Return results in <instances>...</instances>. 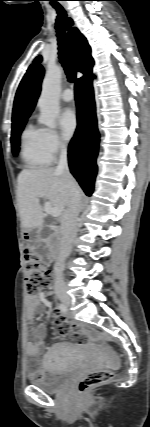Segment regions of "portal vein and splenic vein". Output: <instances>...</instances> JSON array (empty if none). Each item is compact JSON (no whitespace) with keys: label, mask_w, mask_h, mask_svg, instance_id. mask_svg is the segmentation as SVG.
Segmentation results:
<instances>
[{"label":"portal vein and splenic vein","mask_w":150,"mask_h":427,"mask_svg":"<svg viewBox=\"0 0 150 427\" xmlns=\"http://www.w3.org/2000/svg\"><path fill=\"white\" fill-rule=\"evenodd\" d=\"M44 210L53 217H58L61 214V210L58 207H52L49 202H45Z\"/></svg>","instance_id":"portal-vein-and-splenic-vein-1"}]
</instances>
